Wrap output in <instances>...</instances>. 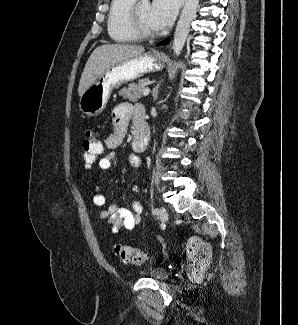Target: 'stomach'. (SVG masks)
<instances>
[{
	"label": "stomach",
	"instance_id": "stomach-1",
	"mask_svg": "<svg viewBox=\"0 0 298 325\" xmlns=\"http://www.w3.org/2000/svg\"><path fill=\"white\" fill-rule=\"evenodd\" d=\"M167 58L158 50H148L142 52L133 58L121 60L118 64H110V68L105 70L102 76L96 78L91 86L86 88L85 92L79 96V108L86 116H97L107 106L112 90L137 80L150 72L163 70Z\"/></svg>",
	"mask_w": 298,
	"mask_h": 325
}]
</instances>
